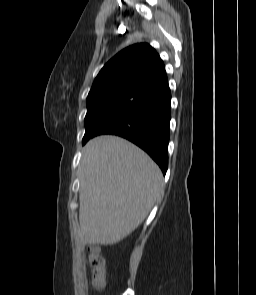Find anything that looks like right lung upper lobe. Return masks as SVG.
<instances>
[{
  "instance_id": "right-lung-upper-lobe-1",
  "label": "right lung upper lobe",
  "mask_w": 256,
  "mask_h": 295,
  "mask_svg": "<svg viewBox=\"0 0 256 295\" xmlns=\"http://www.w3.org/2000/svg\"><path fill=\"white\" fill-rule=\"evenodd\" d=\"M159 55L149 44L129 46L115 55L97 75L87 106L120 96H137L165 75Z\"/></svg>"
}]
</instances>
